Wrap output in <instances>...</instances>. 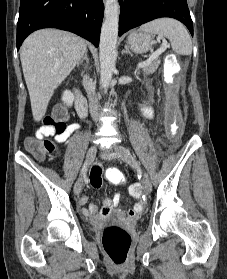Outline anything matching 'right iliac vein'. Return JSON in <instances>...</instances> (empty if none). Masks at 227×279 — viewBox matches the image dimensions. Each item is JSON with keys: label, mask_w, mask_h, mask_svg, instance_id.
I'll list each match as a JSON object with an SVG mask.
<instances>
[{"label": "right iliac vein", "mask_w": 227, "mask_h": 279, "mask_svg": "<svg viewBox=\"0 0 227 279\" xmlns=\"http://www.w3.org/2000/svg\"><path fill=\"white\" fill-rule=\"evenodd\" d=\"M97 152V148L96 146H91L87 152L86 158H85V162H84V167L87 170V167L92 163V161L94 160L95 154ZM85 173V172H84ZM82 185H83V178L81 177L76 184L74 185V194L75 195H79V193L81 192L82 189Z\"/></svg>", "instance_id": "obj_1"}]
</instances>
